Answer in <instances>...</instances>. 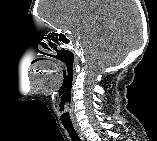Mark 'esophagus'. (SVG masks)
I'll return each instance as SVG.
<instances>
[{"instance_id": "obj_1", "label": "esophagus", "mask_w": 157, "mask_h": 141, "mask_svg": "<svg viewBox=\"0 0 157 141\" xmlns=\"http://www.w3.org/2000/svg\"><path fill=\"white\" fill-rule=\"evenodd\" d=\"M75 130H76V132L78 133L80 139H81L82 141H85L86 138H85V135L83 134V132L81 131V129H80L78 126H75Z\"/></svg>"}]
</instances>
